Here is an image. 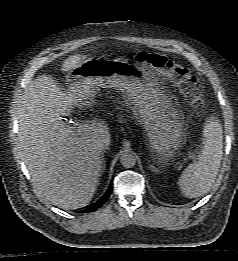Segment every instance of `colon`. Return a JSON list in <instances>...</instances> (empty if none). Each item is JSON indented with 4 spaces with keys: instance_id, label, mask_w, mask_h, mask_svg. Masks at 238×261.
<instances>
[{
    "instance_id": "5ec220e1",
    "label": "colon",
    "mask_w": 238,
    "mask_h": 261,
    "mask_svg": "<svg viewBox=\"0 0 238 261\" xmlns=\"http://www.w3.org/2000/svg\"><path fill=\"white\" fill-rule=\"evenodd\" d=\"M135 59L169 79L195 109H203L204 97L201 83L189 68L166 56L145 51L138 52Z\"/></svg>"
}]
</instances>
